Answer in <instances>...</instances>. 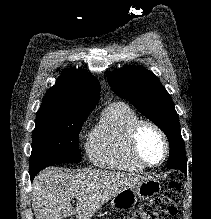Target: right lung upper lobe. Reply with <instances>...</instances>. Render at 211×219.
Instances as JSON below:
<instances>
[{"mask_svg":"<svg viewBox=\"0 0 211 219\" xmlns=\"http://www.w3.org/2000/svg\"><path fill=\"white\" fill-rule=\"evenodd\" d=\"M99 96L100 84L94 76L85 70L71 69L48 89L40 109L54 115L89 114Z\"/></svg>","mask_w":211,"mask_h":219,"instance_id":"1","label":"right lung upper lobe"}]
</instances>
